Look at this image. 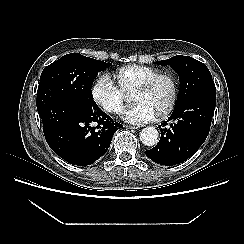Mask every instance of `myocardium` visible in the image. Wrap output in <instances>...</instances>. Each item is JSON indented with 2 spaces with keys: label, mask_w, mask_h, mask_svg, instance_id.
Returning a JSON list of instances; mask_svg holds the SVG:
<instances>
[{
  "label": "myocardium",
  "mask_w": 244,
  "mask_h": 244,
  "mask_svg": "<svg viewBox=\"0 0 244 244\" xmlns=\"http://www.w3.org/2000/svg\"><path fill=\"white\" fill-rule=\"evenodd\" d=\"M162 79H168L171 83V97L166 108L157 114L158 118H165L174 110L179 96V82L175 73L171 71L160 72L150 79L146 80L143 84L138 86L134 92H147L154 88V86Z\"/></svg>",
  "instance_id": "1"
}]
</instances>
